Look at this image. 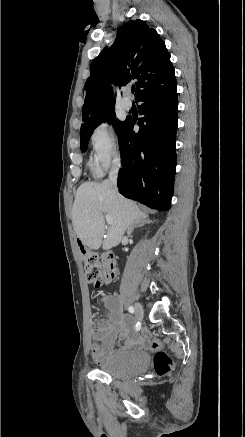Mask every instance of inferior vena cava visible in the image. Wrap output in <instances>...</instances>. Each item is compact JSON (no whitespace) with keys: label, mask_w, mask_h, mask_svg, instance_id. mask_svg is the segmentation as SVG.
Returning a JSON list of instances; mask_svg holds the SVG:
<instances>
[{"label":"inferior vena cava","mask_w":245,"mask_h":437,"mask_svg":"<svg viewBox=\"0 0 245 437\" xmlns=\"http://www.w3.org/2000/svg\"><path fill=\"white\" fill-rule=\"evenodd\" d=\"M120 167V158H115L111 170L109 172V181L113 185L114 190L117 191V177Z\"/></svg>","instance_id":"obj_1"}]
</instances>
